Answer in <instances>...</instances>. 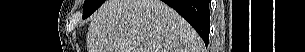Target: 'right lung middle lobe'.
<instances>
[{
    "label": "right lung middle lobe",
    "mask_w": 305,
    "mask_h": 52,
    "mask_svg": "<svg viewBox=\"0 0 305 52\" xmlns=\"http://www.w3.org/2000/svg\"><path fill=\"white\" fill-rule=\"evenodd\" d=\"M105 0H85L83 5V18L89 17L93 12H95Z\"/></svg>",
    "instance_id": "dd1d6c3e"
}]
</instances>
